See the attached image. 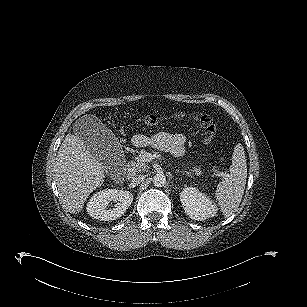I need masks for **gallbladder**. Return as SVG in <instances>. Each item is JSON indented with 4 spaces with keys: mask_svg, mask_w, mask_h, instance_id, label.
Returning <instances> with one entry per match:
<instances>
[{
    "mask_svg": "<svg viewBox=\"0 0 307 307\" xmlns=\"http://www.w3.org/2000/svg\"><path fill=\"white\" fill-rule=\"evenodd\" d=\"M79 134L85 146L107 166L121 153L117 140L93 120L84 123Z\"/></svg>",
    "mask_w": 307,
    "mask_h": 307,
    "instance_id": "gallbladder-1",
    "label": "gallbladder"
}]
</instances>
